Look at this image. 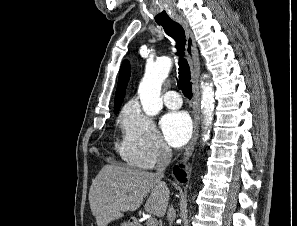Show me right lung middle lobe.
<instances>
[{
  "mask_svg": "<svg viewBox=\"0 0 297 226\" xmlns=\"http://www.w3.org/2000/svg\"><path fill=\"white\" fill-rule=\"evenodd\" d=\"M119 109H120V107L114 109L115 114L119 111Z\"/></svg>",
  "mask_w": 297,
  "mask_h": 226,
  "instance_id": "obj_1",
  "label": "right lung middle lobe"
}]
</instances>
